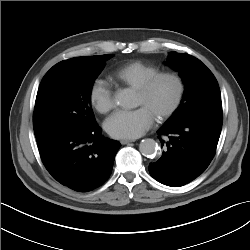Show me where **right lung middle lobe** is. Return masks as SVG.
I'll use <instances>...</instances> for the list:
<instances>
[{
  "instance_id": "dd1d6c3e",
  "label": "right lung middle lobe",
  "mask_w": 250,
  "mask_h": 250,
  "mask_svg": "<svg viewBox=\"0 0 250 250\" xmlns=\"http://www.w3.org/2000/svg\"><path fill=\"white\" fill-rule=\"evenodd\" d=\"M113 54L93 56L83 64L49 70L43 77L34 109L36 137L56 132H78L97 123L91 108L94 80Z\"/></svg>"
}]
</instances>
